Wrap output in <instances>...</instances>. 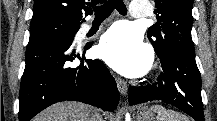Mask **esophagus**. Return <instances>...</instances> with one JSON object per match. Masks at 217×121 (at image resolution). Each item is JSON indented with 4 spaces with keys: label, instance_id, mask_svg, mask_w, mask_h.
Instances as JSON below:
<instances>
[{
    "label": "esophagus",
    "instance_id": "esophagus-1",
    "mask_svg": "<svg viewBox=\"0 0 217 121\" xmlns=\"http://www.w3.org/2000/svg\"><path fill=\"white\" fill-rule=\"evenodd\" d=\"M116 83H117V87H118L120 93L123 96H125L127 94V92H128L127 83L124 80H122L121 78H118V77L116 78Z\"/></svg>",
    "mask_w": 217,
    "mask_h": 121
}]
</instances>
